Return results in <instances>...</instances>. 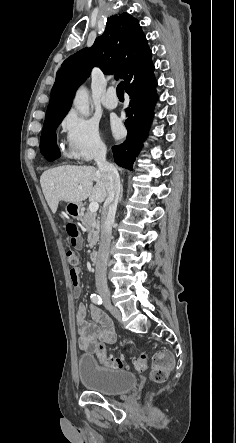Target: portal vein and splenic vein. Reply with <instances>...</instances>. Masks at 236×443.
Segmentation results:
<instances>
[{
	"label": "portal vein and splenic vein",
	"instance_id": "1",
	"mask_svg": "<svg viewBox=\"0 0 236 443\" xmlns=\"http://www.w3.org/2000/svg\"><path fill=\"white\" fill-rule=\"evenodd\" d=\"M79 188L81 189L82 187L80 186ZM98 208H99L98 202H91L89 205V211L92 213H96Z\"/></svg>",
	"mask_w": 236,
	"mask_h": 443
}]
</instances>
